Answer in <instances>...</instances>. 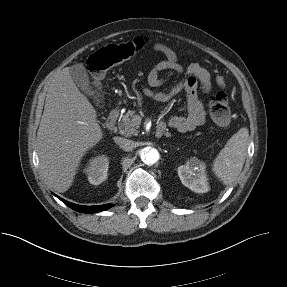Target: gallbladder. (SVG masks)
Segmentation results:
<instances>
[{"mask_svg":"<svg viewBox=\"0 0 287 287\" xmlns=\"http://www.w3.org/2000/svg\"><path fill=\"white\" fill-rule=\"evenodd\" d=\"M70 74L79 89L88 97L95 95V90L91 86L86 68L82 64H75L69 68Z\"/></svg>","mask_w":287,"mask_h":287,"instance_id":"1","label":"gallbladder"}]
</instances>
